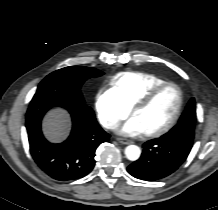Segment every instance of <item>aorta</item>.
Here are the masks:
<instances>
[{"mask_svg":"<svg viewBox=\"0 0 218 210\" xmlns=\"http://www.w3.org/2000/svg\"><path fill=\"white\" fill-rule=\"evenodd\" d=\"M141 155V150L136 145H129L125 148V156L130 161H136Z\"/></svg>","mask_w":218,"mask_h":210,"instance_id":"762f6f07","label":"aorta"}]
</instances>
